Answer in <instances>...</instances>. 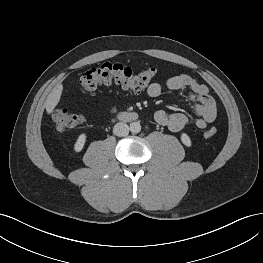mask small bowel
Here are the masks:
<instances>
[{"label": "small bowel", "mask_w": 263, "mask_h": 263, "mask_svg": "<svg viewBox=\"0 0 263 263\" xmlns=\"http://www.w3.org/2000/svg\"><path fill=\"white\" fill-rule=\"evenodd\" d=\"M166 87L175 92L188 91V99L191 102L196 113L194 119L182 112L168 113L164 110H158L154 114L155 121L173 132L182 130L190 122L197 128H206L217 116V106L215 100L210 96L208 88L196 81L187 74H177L170 77L166 82ZM163 92V86L160 83H151L147 88V94L150 97H158ZM109 114L117 112L116 106H110L107 109Z\"/></svg>", "instance_id": "1"}]
</instances>
